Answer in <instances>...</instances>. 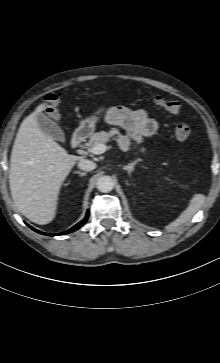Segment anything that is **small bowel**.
<instances>
[{"label": "small bowel", "mask_w": 220, "mask_h": 363, "mask_svg": "<svg viewBox=\"0 0 220 363\" xmlns=\"http://www.w3.org/2000/svg\"><path fill=\"white\" fill-rule=\"evenodd\" d=\"M104 120L109 124L124 127L134 142L153 136L159 128L158 122L143 109H108L104 112Z\"/></svg>", "instance_id": "1"}]
</instances>
